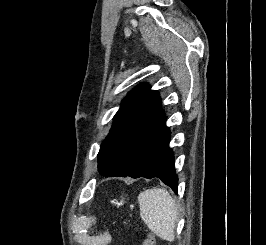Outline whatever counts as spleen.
<instances>
[{"label": "spleen", "mask_w": 266, "mask_h": 245, "mask_svg": "<svg viewBox=\"0 0 266 245\" xmlns=\"http://www.w3.org/2000/svg\"><path fill=\"white\" fill-rule=\"evenodd\" d=\"M140 217L148 229L163 241H174L177 207L166 189H146L138 197Z\"/></svg>", "instance_id": "3e777b00"}]
</instances>
